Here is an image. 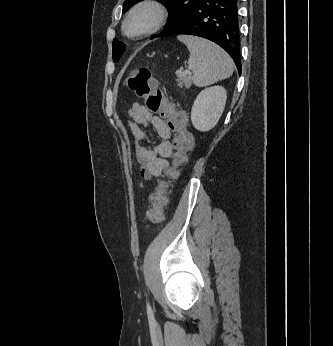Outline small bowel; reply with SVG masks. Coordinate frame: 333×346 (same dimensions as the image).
I'll use <instances>...</instances> for the list:
<instances>
[{"label": "small bowel", "instance_id": "1", "mask_svg": "<svg viewBox=\"0 0 333 346\" xmlns=\"http://www.w3.org/2000/svg\"><path fill=\"white\" fill-rule=\"evenodd\" d=\"M131 118L129 129L135 141L142 142L136 146V157L140 164V176L143 180H150L161 176L168 167V159L173 154L171 128L161 117L150 112L140 103H135L128 110ZM147 129L152 130L160 142L150 144Z\"/></svg>", "mask_w": 333, "mask_h": 346}]
</instances>
